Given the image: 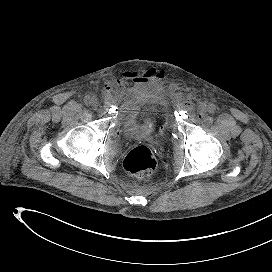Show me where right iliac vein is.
I'll list each match as a JSON object with an SVG mask.
<instances>
[{"instance_id":"right-iliac-vein-1","label":"right iliac vein","mask_w":272,"mask_h":272,"mask_svg":"<svg viewBox=\"0 0 272 272\" xmlns=\"http://www.w3.org/2000/svg\"><path fill=\"white\" fill-rule=\"evenodd\" d=\"M91 105L96 108L98 106V100L95 97L91 98Z\"/></svg>"}]
</instances>
